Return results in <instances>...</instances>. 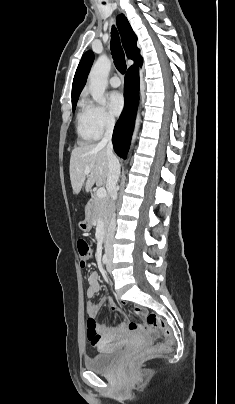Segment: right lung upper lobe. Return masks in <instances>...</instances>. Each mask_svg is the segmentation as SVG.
Instances as JSON below:
<instances>
[{"mask_svg":"<svg viewBox=\"0 0 235 404\" xmlns=\"http://www.w3.org/2000/svg\"><path fill=\"white\" fill-rule=\"evenodd\" d=\"M117 26L120 31L121 39H122V44L125 49L126 55L129 59H132L135 61V64L141 63L142 57L140 55V50L137 48V37L135 33L133 32L127 18L124 16V14H120L117 17ZM94 60V54L91 50L87 51L76 70L74 79H73V85H72V102H75L78 100V97L86 83V79L89 73V70L91 68V65Z\"/></svg>","mask_w":235,"mask_h":404,"instance_id":"obj_1","label":"right lung upper lobe"}]
</instances>
